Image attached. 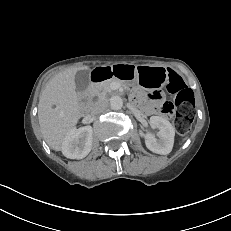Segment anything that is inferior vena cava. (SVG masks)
I'll list each match as a JSON object with an SVG mask.
<instances>
[{"instance_id":"inferior-vena-cava-1","label":"inferior vena cava","mask_w":231,"mask_h":231,"mask_svg":"<svg viewBox=\"0 0 231 231\" xmlns=\"http://www.w3.org/2000/svg\"><path fill=\"white\" fill-rule=\"evenodd\" d=\"M105 108H106V103H105V102H98V103L94 106V108H93V110H92V114H93V115H98V114H100L101 112H103Z\"/></svg>"}]
</instances>
